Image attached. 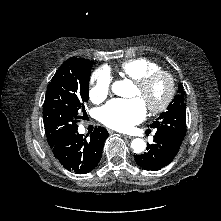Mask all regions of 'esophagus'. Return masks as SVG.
Returning a JSON list of instances; mask_svg holds the SVG:
<instances>
[{"label": "esophagus", "mask_w": 221, "mask_h": 221, "mask_svg": "<svg viewBox=\"0 0 221 221\" xmlns=\"http://www.w3.org/2000/svg\"><path fill=\"white\" fill-rule=\"evenodd\" d=\"M123 137L127 138V139H132L133 137L132 136H129V135H123Z\"/></svg>", "instance_id": "34e87169"}]
</instances>
